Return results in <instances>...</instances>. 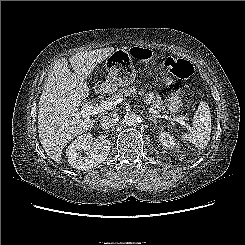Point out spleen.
I'll return each mask as SVG.
<instances>
[{"label": "spleen", "instance_id": "obj_1", "mask_svg": "<svg viewBox=\"0 0 245 245\" xmlns=\"http://www.w3.org/2000/svg\"><path fill=\"white\" fill-rule=\"evenodd\" d=\"M211 124L209 105L206 102H201L194 115L190 133L181 134L180 138L184 142H191L197 149H203L210 140Z\"/></svg>", "mask_w": 245, "mask_h": 245}]
</instances>
